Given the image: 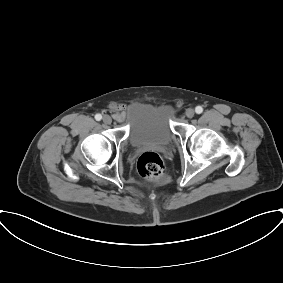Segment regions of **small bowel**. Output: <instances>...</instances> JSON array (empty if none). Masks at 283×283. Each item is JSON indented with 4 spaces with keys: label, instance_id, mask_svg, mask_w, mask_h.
Segmentation results:
<instances>
[{
    "label": "small bowel",
    "instance_id": "small-bowel-1",
    "mask_svg": "<svg viewBox=\"0 0 283 283\" xmlns=\"http://www.w3.org/2000/svg\"><path fill=\"white\" fill-rule=\"evenodd\" d=\"M125 114H126V111L123 107H116L114 109V117L117 119V120H123L125 118Z\"/></svg>",
    "mask_w": 283,
    "mask_h": 283
}]
</instances>
